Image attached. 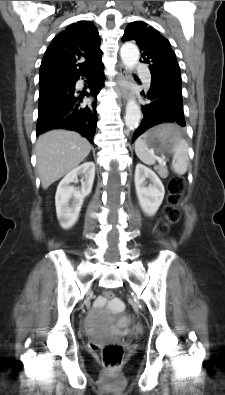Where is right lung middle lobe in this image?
<instances>
[{
  "label": "right lung middle lobe",
  "instance_id": "1",
  "mask_svg": "<svg viewBox=\"0 0 225 395\" xmlns=\"http://www.w3.org/2000/svg\"><path fill=\"white\" fill-rule=\"evenodd\" d=\"M46 89H48V88L40 89L39 93H42V92L45 91Z\"/></svg>",
  "mask_w": 225,
  "mask_h": 395
}]
</instances>
